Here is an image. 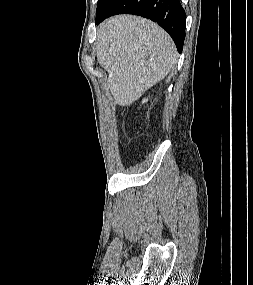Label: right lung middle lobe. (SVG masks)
Masks as SVG:
<instances>
[{"instance_id":"1","label":"right lung middle lobe","mask_w":253,"mask_h":285,"mask_svg":"<svg viewBox=\"0 0 253 285\" xmlns=\"http://www.w3.org/2000/svg\"><path fill=\"white\" fill-rule=\"evenodd\" d=\"M113 0H98L96 17L100 16L108 8Z\"/></svg>"}]
</instances>
